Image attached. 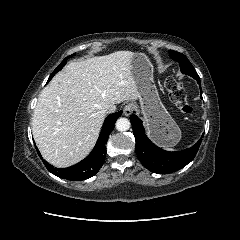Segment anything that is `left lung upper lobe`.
Returning <instances> with one entry per match:
<instances>
[{
    "mask_svg": "<svg viewBox=\"0 0 240 240\" xmlns=\"http://www.w3.org/2000/svg\"><path fill=\"white\" fill-rule=\"evenodd\" d=\"M169 54L173 60H175L179 63L181 72L183 74H187L191 77L198 76L193 65L190 63V61L187 59V57L185 55H183L182 53L173 51V50H170Z\"/></svg>",
    "mask_w": 240,
    "mask_h": 240,
    "instance_id": "left-lung-upper-lobe-1",
    "label": "left lung upper lobe"
}]
</instances>
